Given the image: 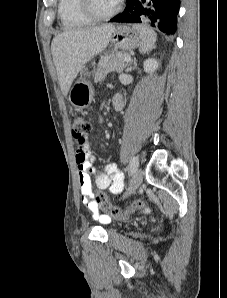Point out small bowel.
<instances>
[{"mask_svg":"<svg viewBox=\"0 0 227 298\" xmlns=\"http://www.w3.org/2000/svg\"><path fill=\"white\" fill-rule=\"evenodd\" d=\"M76 163L80 192L84 204L94 218L106 221L108 217L99 214V205L94 200L92 176L94 177L96 186L99 189H108L112 194H120L124 187L123 174L117 170L115 164L113 163H108L104 172H98L94 164L95 157L92 155L88 147H86L83 151L77 150Z\"/></svg>","mask_w":227,"mask_h":298,"instance_id":"small-bowel-1","label":"small bowel"}]
</instances>
